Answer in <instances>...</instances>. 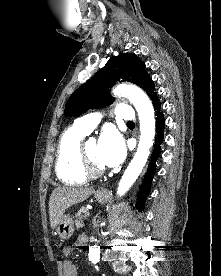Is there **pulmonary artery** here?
I'll use <instances>...</instances> for the list:
<instances>
[{
    "mask_svg": "<svg viewBox=\"0 0 221 276\" xmlns=\"http://www.w3.org/2000/svg\"><path fill=\"white\" fill-rule=\"evenodd\" d=\"M115 115L122 120L132 121L134 119L133 109L126 104H120L115 109ZM101 115L99 113H91L85 115L75 121L74 127L85 134H89L99 123Z\"/></svg>",
    "mask_w": 221,
    "mask_h": 276,
    "instance_id": "obj_1",
    "label": "pulmonary artery"
}]
</instances>
